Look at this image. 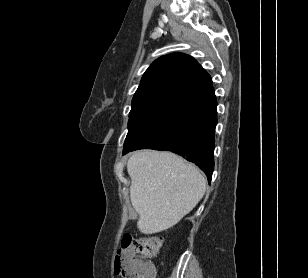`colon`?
<instances>
[{"label": "colon", "instance_id": "obj_1", "mask_svg": "<svg viewBox=\"0 0 308 278\" xmlns=\"http://www.w3.org/2000/svg\"><path fill=\"white\" fill-rule=\"evenodd\" d=\"M160 237L135 238L126 234L114 259V272L122 278H153L154 269L150 259L162 247Z\"/></svg>", "mask_w": 308, "mask_h": 278}]
</instances>
